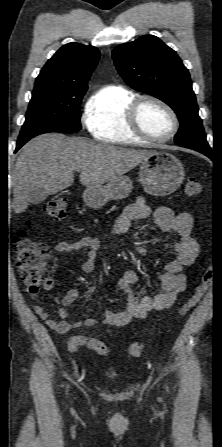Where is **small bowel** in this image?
I'll list each match as a JSON object with an SVG mask.
<instances>
[{"label": "small bowel", "instance_id": "small-bowel-1", "mask_svg": "<svg viewBox=\"0 0 222 447\" xmlns=\"http://www.w3.org/2000/svg\"><path fill=\"white\" fill-rule=\"evenodd\" d=\"M134 220H151L161 231H173L177 239L173 248L177 254L175 260L168 263L160 276V293L152 297L140 298L134 290V286L139 282V275L133 270H126L117 280L115 288L117 292L126 297V308L119 312L105 310L103 312V323L107 326L122 327L132 319H144L151 311L168 310L174 306L181 292L186 288V276L182 270L186 266L193 264L199 254V245L191 236L194 220L189 213H174L167 206L152 207L143 197H139L135 202L128 205L122 215L117 218L113 226V235H120L128 230ZM100 248V242L91 237H82L74 241H60L55 244L54 250L58 253H80L86 250V260L82 264V271L87 275L95 272V258ZM134 249L142 256L153 257L158 249L150 251L142 245H134ZM53 281L50 280L44 285L45 290H51ZM80 296L77 289H69L62 297L61 303L64 306L73 304ZM34 312L42 319L46 325L59 333H66L71 329L93 327L97 324L94 318L74 323L68 322L69 312L65 308L58 311V319L51 317V314L42 306L34 305ZM95 338L77 335L69 339L68 346L72 352L78 351L81 347H89Z\"/></svg>", "mask_w": 222, "mask_h": 447}]
</instances>
